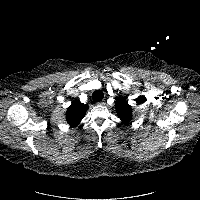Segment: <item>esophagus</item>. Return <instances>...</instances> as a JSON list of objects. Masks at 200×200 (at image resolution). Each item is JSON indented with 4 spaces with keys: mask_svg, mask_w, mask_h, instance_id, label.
Wrapping results in <instances>:
<instances>
[{
    "mask_svg": "<svg viewBox=\"0 0 200 200\" xmlns=\"http://www.w3.org/2000/svg\"><path fill=\"white\" fill-rule=\"evenodd\" d=\"M99 105H105V101H101L98 103Z\"/></svg>",
    "mask_w": 200,
    "mask_h": 200,
    "instance_id": "1",
    "label": "esophagus"
}]
</instances>
